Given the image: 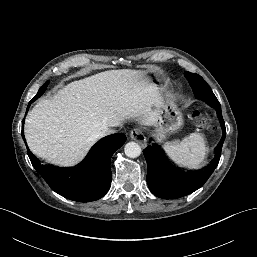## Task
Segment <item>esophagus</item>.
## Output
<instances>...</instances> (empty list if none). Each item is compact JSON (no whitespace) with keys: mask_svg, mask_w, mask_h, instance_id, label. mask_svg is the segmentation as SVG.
<instances>
[{"mask_svg":"<svg viewBox=\"0 0 257 257\" xmlns=\"http://www.w3.org/2000/svg\"><path fill=\"white\" fill-rule=\"evenodd\" d=\"M130 137L132 140L136 141L141 145V147H145L147 145V139L143 134L142 130L139 128H135L130 132Z\"/></svg>","mask_w":257,"mask_h":257,"instance_id":"1","label":"esophagus"}]
</instances>
